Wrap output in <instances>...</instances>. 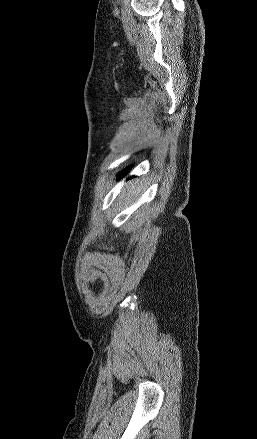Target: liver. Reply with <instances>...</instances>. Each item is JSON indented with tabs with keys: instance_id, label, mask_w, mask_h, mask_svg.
<instances>
[{
	"instance_id": "liver-1",
	"label": "liver",
	"mask_w": 257,
	"mask_h": 439,
	"mask_svg": "<svg viewBox=\"0 0 257 439\" xmlns=\"http://www.w3.org/2000/svg\"><path fill=\"white\" fill-rule=\"evenodd\" d=\"M141 191V187L139 186V185H135V186H133L132 188H131V192L134 194V195H138V193Z\"/></svg>"
}]
</instances>
